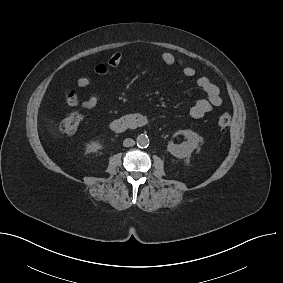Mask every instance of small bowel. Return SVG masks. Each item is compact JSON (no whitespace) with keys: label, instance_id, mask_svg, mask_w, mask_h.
<instances>
[{"label":"small bowel","instance_id":"small-bowel-1","mask_svg":"<svg viewBox=\"0 0 283 283\" xmlns=\"http://www.w3.org/2000/svg\"><path fill=\"white\" fill-rule=\"evenodd\" d=\"M159 58L163 63L169 66L179 65L182 68L184 76L192 78L195 76V69L191 66L185 65L184 62L170 52H161ZM123 60L122 52L113 53L105 63L96 64L93 68L95 74L105 76L110 74L116 69ZM92 81L89 77L81 76L76 80V84L80 88H87L91 85ZM199 88L204 92L205 97L198 99L190 109V116L194 119H200L207 113L211 112L214 108L222 104V98L218 87L213 84L209 78L200 76L196 80ZM100 102L98 95H92L81 102V106L85 109H93Z\"/></svg>","mask_w":283,"mask_h":283}]
</instances>
